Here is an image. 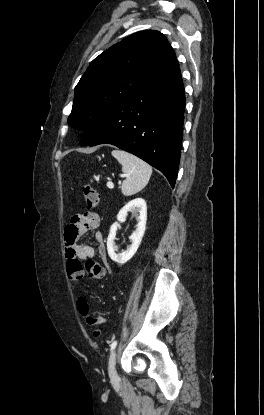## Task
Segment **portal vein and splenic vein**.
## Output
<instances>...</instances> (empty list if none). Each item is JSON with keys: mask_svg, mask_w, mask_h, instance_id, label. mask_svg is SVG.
<instances>
[{"mask_svg": "<svg viewBox=\"0 0 264 415\" xmlns=\"http://www.w3.org/2000/svg\"><path fill=\"white\" fill-rule=\"evenodd\" d=\"M107 187L112 189V188H114V184L109 181V182H107Z\"/></svg>", "mask_w": 264, "mask_h": 415, "instance_id": "1", "label": "portal vein and splenic vein"}]
</instances>
